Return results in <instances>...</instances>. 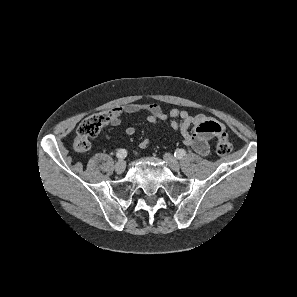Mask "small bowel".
Here are the masks:
<instances>
[{"mask_svg":"<svg viewBox=\"0 0 297 297\" xmlns=\"http://www.w3.org/2000/svg\"><path fill=\"white\" fill-rule=\"evenodd\" d=\"M139 112L147 113V120L155 125L167 123L173 130L179 131L186 146L191 147L200 155L209 153V141L218 136L223 128L219 122L204 114L192 115L185 110L173 108L166 113L157 104L129 103L113 110L112 125L119 126L120 117L125 114ZM128 136L135 134V128L128 126L125 129ZM150 145V139L145 138L140 143L141 149Z\"/></svg>","mask_w":297,"mask_h":297,"instance_id":"small-bowel-1","label":"small bowel"}]
</instances>
